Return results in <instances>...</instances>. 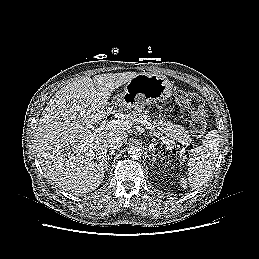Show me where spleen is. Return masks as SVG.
Wrapping results in <instances>:
<instances>
[{
    "label": "spleen",
    "mask_w": 259,
    "mask_h": 259,
    "mask_svg": "<svg viewBox=\"0 0 259 259\" xmlns=\"http://www.w3.org/2000/svg\"><path fill=\"white\" fill-rule=\"evenodd\" d=\"M219 142L218 131L211 130L206 134L203 145L191 151L188 161V178L180 177V184L184 189L188 185L192 189H198L209 181L219 154Z\"/></svg>",
    "instance_id": "3e777b00"
}]
</instances>
